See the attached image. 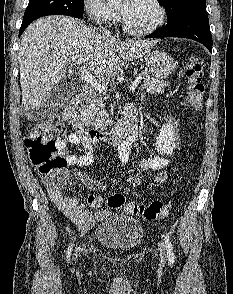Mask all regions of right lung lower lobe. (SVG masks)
Here are the masks:
<instances>
[{
  "label": "right lung lower lobe",
  "instance_id": "right-lung-lower-lobe-1",
  "mask_svg": "<svg viewBox=\"0 0 233 294\" xmlns=\"http://www.w3.org/2000/svg\"><path fill=\"white\" fill-rule=\"evenodd\" d=\"M28 25H29V24H23V23H22V26H21L20 31H19V35L22 34V32L25 30V28H26Z\"/></svg>",
  "mask_w": 233,
  "mask_h": 294
}]
</instances>
